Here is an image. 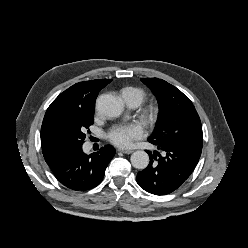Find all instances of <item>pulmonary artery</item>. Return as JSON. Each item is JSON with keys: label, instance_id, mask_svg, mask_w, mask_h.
Listing matches in <instances>:
<instances>
[{"label": "pulmonary artery", "instance_id": "e3ab8cb5", "mask_svg": "<svg viewBox=\"0 0 248 248\" xmlns=\"http://www.w3.org/2000/svg\"><path fill=\"white\" fill-rule=\"evenodd\" d=\"M123 99L126 102V104L131 108H136L140 105L139 100L136 99L135 97L125 96Z\"/></svg>", "mask_w": 248, "mask_h": 248}]
</instances>
